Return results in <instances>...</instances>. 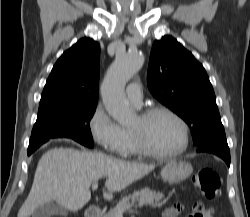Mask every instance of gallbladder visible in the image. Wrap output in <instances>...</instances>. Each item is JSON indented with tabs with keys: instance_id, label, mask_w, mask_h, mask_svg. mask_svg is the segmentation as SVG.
Instances as JSON below:
<instances>
[{
	"instance_id": "obj_1",
	"label": "gallbladder",
	"mask_w": 250,
	"mask_h": 217,
	"mask_svg": "<svg viewBox=\"0 0 250 217\" xmlns=\"http://www.w3.org/2000/svg\"><path fill=\"white\" fill-rule=\"evenodd\" d=\"M54 214L66 216L68 212L64 207L52 201L39 206L32 214V217H51Z\"/></svg>"
}]
</instances>
